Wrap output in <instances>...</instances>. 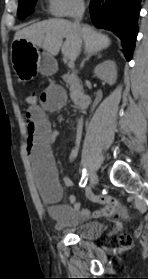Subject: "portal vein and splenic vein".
Listing matches in <instances>:
<instances>
[{"mask_svg": "<svg viewBox=\"0 0 148 279\" xmlns=\"http://www.w3.org/2000/svg\"><path fill=\"white\" fill-rule=\"evenodd\" d=\"M74 62H73V60H70L69 62H68V67L70 68V69H73L74 68Z\"/></svg>", "mask_w": 148, "mask_h": 279, "instance_id": "1", "label": "portal vein and splenic vein"}]
</instances>
